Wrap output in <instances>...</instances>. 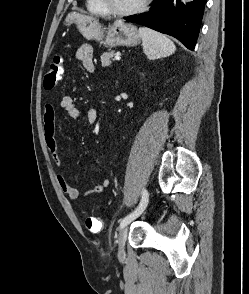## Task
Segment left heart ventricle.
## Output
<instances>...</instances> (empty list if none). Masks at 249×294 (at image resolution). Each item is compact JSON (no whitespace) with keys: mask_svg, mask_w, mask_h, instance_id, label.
<instances>
[{"mask_svg":"<svg viewBox=\"0 0 249 294\" xmlns=\"http://www.w3.org/2000/svg\"><path fill=\"white\" fill-rule=\"evenodd\" d=\"M141 0H106L107 4L114 10L124 11L137 6Z\"/></svg>","mask_w":249,"mask_h":294,"instance_id":"obj_1","label":"left heart ventricle"}]
</instances>
